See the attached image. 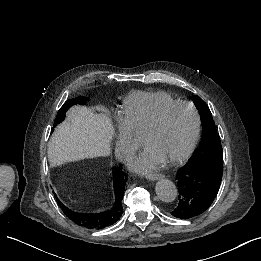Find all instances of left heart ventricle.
Here are the masks:
<instances>
[{"label": "left heart ventricle", "instance_id": "obj_1", "mask_svg": "<svg viewBox=\"0 0 261 261\" xmlns=\"http://www.w3.org/2000/svg\"><path fill=\"white\" fill-rule=\"evenodd\" d=\"M194 116L184 107H170L158 117L135 128L139 141L147 143L161 159L180 152L194 129Z\"/></svg>", "mask_w": 261, "mask_h": 261}]
</instances>
